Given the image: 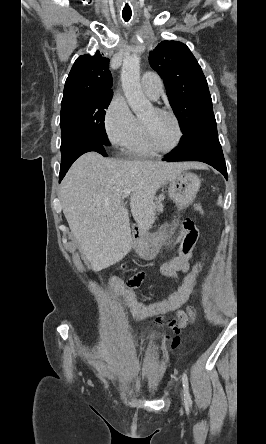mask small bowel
<instances>
[{
	"instance_id": "1",
	"label": "small bowel",
	"mask_w": 266,
	"mask_h": 444,
	"mask_svg": "<svg viewBox=\"0 0 266 444\" xmlns=\"http://www.w3.org/2000/svg\"><path fill=\"white\" fill-rule=\"evenodd\" d=\"M199 233L195 224L186 220L179 232L174 237V242L180 244L179 256L175 259L165 263L161 267V273L169 278L179 280L177 273L182 271L184 273L189 272L190 262L193 257V251L198 241ZM145 274L143 272L135 273L129 280L132 283L133 288L139 287L144 281ZM117 281L111 279L110 283L114 284ZM195 318L194 310L189 307L186 310H177L175 316L166 321L159 319L155 320L156 324L167 325L172 330V335L166 338L171 348H176L179 344V333L185 329ZM136 321H143L142 319L134 318Z\"/></svg>"
}]
</instances>
